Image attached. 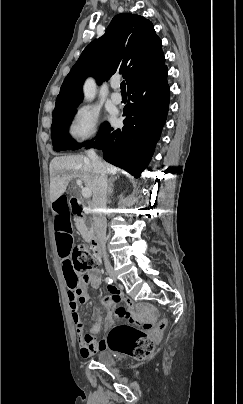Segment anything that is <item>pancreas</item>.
I'll use <instances>...</instances> for the list:
<instances>
[{"label":"pancreas","mask_w":243,"mask_h":404,"mask_svg":"<svg viewBox=\"0 0 243 404\" xmlns=\"http://www.w3.org/2000/svg\"><path fill=\"white\" fill-rule=\"evenodd\" d=\"M76 228L80 234H82V238H84L85 242H90L93 238V230H87L84 222L82 220H75Z\"/></svg>","instance_id":"pancreas-1"}]
</instances>
